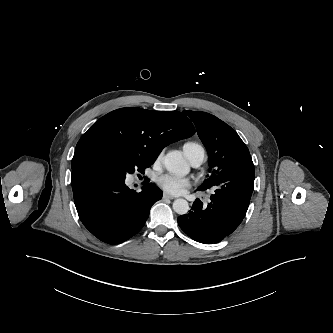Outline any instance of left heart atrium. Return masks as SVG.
<instances>
[{
  "label": "left heart atrium",
  "instance_id": "left-heart-atrium-1",
  "mask_svg": "<svg viewBox=\"0 0 333 333\" xmlns=\"http://www.w3.org/2000/svg\"><path fill=\"white\" fill-rule=\"evenodd\" d=\"M157 184L168 194L180 195L190 187L191 182L188 178L164 174L157 178Z\"/></svg>",
  "mask_w": 333,
  "mask_h": 333
}]
</instances>
